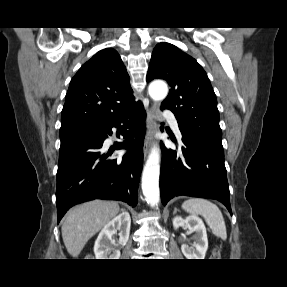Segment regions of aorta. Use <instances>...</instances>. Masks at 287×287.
<instances>
[{"label": "aorta", "mask_w": 287, "mask_h": 287, "mask_svg": "<svg viewBox=\"0 0 287 287\" xmlns=\"http://www.w3.org/2000/svg\"><path fill=\"white\" fill-rule=\"evenodd\" d=\"M148 92L154 101L165 99L168 87L162 81H155L149 85ZM160 150L154 146L148 156L142 173V191L148 204L157 206L160 200L159 191Z\"/></svg>", "instance_id": "1"}]
</instances>
